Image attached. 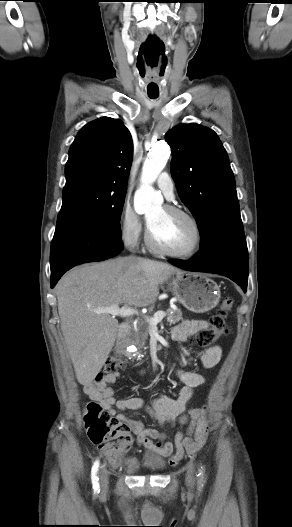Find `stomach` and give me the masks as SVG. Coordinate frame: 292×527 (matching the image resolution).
<instances>
[{
  "instance_id": "1",
  "label": "stomach",
  "mask_w": 292,
  "mask_h": 527,
  "mask_svg": "<svg viewBox=\"0 0 292 527\" xmlns=\"http://www.w3.org/2000/svg\"><path fill=\"white\" fill-rule=\"evenodd\" d=\"M169 285L177 300L194 313L208 312L220 300V289L216 282L201 273L177 272Z\"/></svg>"
}]
</instances>
